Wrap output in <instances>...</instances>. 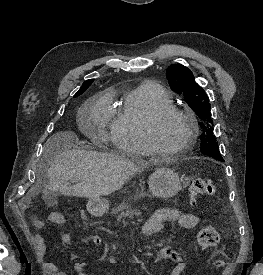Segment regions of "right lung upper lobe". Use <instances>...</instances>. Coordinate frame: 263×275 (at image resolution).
Returning a JSON list of instances; mask_svg holds the SVG:
<instances>
[{
    "mask_svg": "<svg viewBox=\"0 0 263 275\" xmlns=\"http://www.w3.org/2000/svg\"><path fill=\"white\" fill-rule=\"evenodd\" d=\"M92 82H93V79H90V80L85 81V82L83 83L82 87L80 88V90H79L77 93H79L80 91L84 90L86 87L88 88V87L91 85ZM77 93H76V94H77ZM76 94H75V95H76Z\"/></svg>",
    "mask_w": 263,
    "mask_h": 275,
    "instance_id": "right-lung-upper-lobe-1",
    "label": "right lung upper lobe"
}]
</instances>
